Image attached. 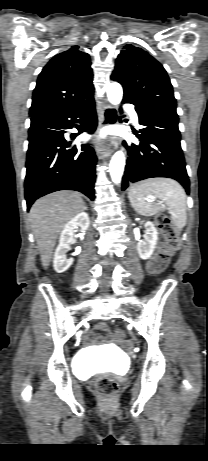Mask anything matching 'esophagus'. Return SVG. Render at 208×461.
I'll list each match as a JSON object with an SVG mask.
<instances>
[{"instance_id": "1", "label": "esophagus", "mask_w": 208, "mask_h": 461, "mask_svg": "<svg viewBox=\"0 0 208 461\" xmlns=\"http://www.w3.org/2000/svg\"><path fill=\"white\" fill-rule=\"evenodd\" d=\"M117 121V110L111 105H105L99 115V122L101 126L114 124ZM118 147V141L115 138H110L106 143L97 145L96 149L101 153L102 157L110 156L113 151Z\"/></svg>"}]
</instances>
